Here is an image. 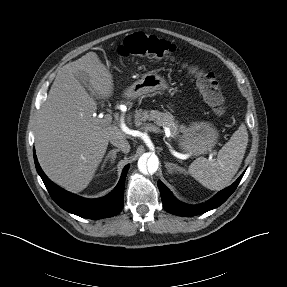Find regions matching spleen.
Returning a JSON list of instances; mask_svg holds the SVG:
<instances>
[{"label": "spleen", "mask_w": 287, "mask_h": 287, "mask_svg": "<svg viewBox=\"0 0 287 287\" xmlns=\"http://www.w3.org/2000/svg\"><path fill=\"white\" fill-rule=\"evenodd\" d=\"M248 144V132L242 123L230 140L219 150L217 159L209 161L204 157L194 160L189 174L210 190L227 187L237 173Z\"/></svg>", "instance_id": "spleen-1"}]
</instances>
